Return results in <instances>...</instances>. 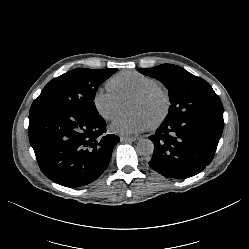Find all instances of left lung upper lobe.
Here are the masks:
<instances>
[{"mask_svg":"<svg viewBox=\"0 0 249 249\" xmlns=\"http://www.w3.org/2000/svg\"><path fill=\"white\" fill-rule=\"evenodd\" d=\"M138 71L159 80L169 90L171 105L164 121L196 114L223 113L222 102L210 84L179 66L162 64Z\"/></svg>","mask_w":249,"mask_h":249,"instance_id":"1","label":"left lung upper lobe"}]
</instances>
